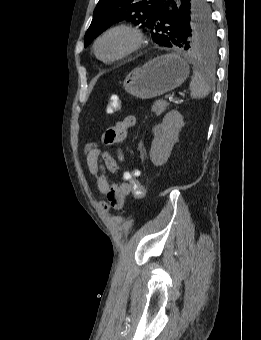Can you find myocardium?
Instances as JSON below:
<instances>
[{
    "label": "myocardium",
    "mask_w": 261,
    "mask_h": 340,
    "mask_svg": "<svg viewBox=\"0 0 261 340\" xmlns=\"http://www.w3.org/2000/svg\"><path fill=\"white\" fill-rule=\"evenodd\" d=\"M124 32L126 34H128L131 37L132 43L130 45V47L128 49H126L124 52L111 57V58H103L100 56L99 54V45L101 43V41L109 34L114 33V32ZM145 42V36L143 31L132 24H128V23H119L116 25H113L109 28H107L105 31H103L98 38L96 39L95 43H94V52L96 54V56L103 62L106 63H110V62H115L118 60H121L131 54H133L134 52H136L138 49H140L142 47V45Z\"/></svg>",
    "instance_id": "obj_1"
}]
</instances>
